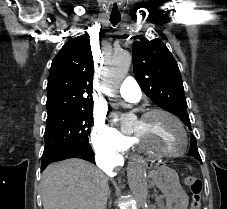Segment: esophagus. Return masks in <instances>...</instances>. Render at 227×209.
<instances>
[{"label":"esophagus","mask_w":227,"mask_h":209,"mask_svg":"<svg viewBox=\"0 0 227 209\" xmlns=\"http://www.w3.org/2000/svg\"><path fill=\"white\" fill-rule=\"evenodd\" d=\"M154 167V162H145V164L142 165L143 169H152Z\"/></svg>","instance_id":"obj_1"}]
</instances>
